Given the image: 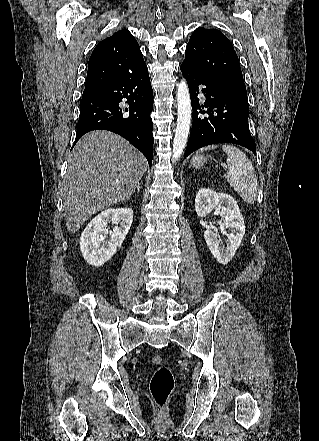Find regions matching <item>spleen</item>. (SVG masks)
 Returning a JSON list of instances; mask_svg holds the SVG:
<instances>
[{
    "label": "spleen",
    "mask_w": 319,
    "mask_h": 441,
    "mask_svg": "<svg viewBox=\"0 0 319 441\" xmlns=\"http://www.w3.org/2000/svg\"><path fill=\"white\" fill-rule=\"evenodd\" d=\"M216 147L215 145L203 147L198 150V153L212 150ZM222 149L227 155L229 169L225 178L247 204H253L256 200L258 181L250 159L244 152L233 145L224 144Z\"/></svg>",
    "instance_id": "1"
}]
</instances>
